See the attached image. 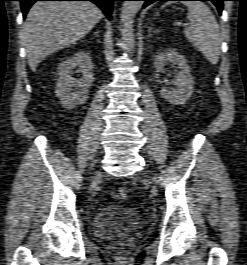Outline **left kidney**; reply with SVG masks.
I'll return each mask as SVG.
<instances>
[{"mask_svg":"<svg viewBox=\"0 0 247 265\" xmlns=\"http://www.w3.org/2000/svg\"><path fill=\"white\" fill-rule=\"evenodd\" d=\"M168 62L178 65L181 71L176 75V79L173 81L176 88H163L160 91L161 96L173 105L185 104L192 95L194 89V79L191 75L190 66L182 55L174 49H168L155 57L154 67L156 71H163L164 66Z\"/></svg>","mask_w":247,"mask_h":265,"instance_id":"1","label":"left kidney"}]
</instances>
